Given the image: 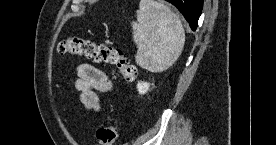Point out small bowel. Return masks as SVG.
<instances>
[{"label":"small bowel","instance_id":"1","mask_svg":"<svg viewBox=\"0 0 276 145\" xmlns=\"http://www.w3.org/2000/svg\"><path fill=\"white\" fill-rule=\"evenodd\" d=\"M76 89L80 92V99L85 108L93 111L100 110L98 93L109 92L113 84L108 76L91 64H80L77 67Z\"/></svg>","mask_w":276,"mask_h":145}]
</instances>
